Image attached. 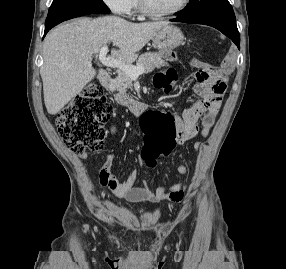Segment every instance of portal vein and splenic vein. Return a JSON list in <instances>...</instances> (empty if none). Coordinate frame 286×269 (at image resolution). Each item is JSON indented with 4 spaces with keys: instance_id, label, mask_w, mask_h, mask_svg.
<instances>
[{
    "instance_id": "obj_1",
    "label": "portal vein and splenic vein",
    "mask_w": 286,
    "mask_h": 269,
    "mask_svg": "<svg viewBox=\"0 0 286 269\" xmlns=\"http://www.w3.org/2000/svg\"><path fill=\"white\" fill-rule=\"evenodd\" d=\"M107 52L108 47L107 45H104L99 53V60L104 66L118 68L129 75L133 80H136L139 75L144 73V69L142 67L133 66L131 64H126L119 59L107 57Z\"/></svg>"
}]
</instances>
